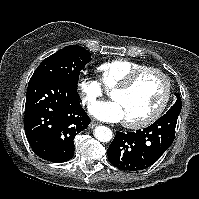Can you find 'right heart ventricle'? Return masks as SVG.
Here are the masks:
<instances>
[{"instance_id": "e07e8e85", "label": "right heart ventricle", "mask_w": 199, "mask_h": 199, "mask_svg": "<svg viewBox=\"0 0 199 199\" xmlns=\"http://www.w3.org/2000/svg\"><path fill=\"white\" fill-rule=\"evenodd\" d=\"M147 67L144 64L128 59H115L102 63L98 68L100 80L107 89L122 83L131 73Z\"/></svg>"}]
</instances>
